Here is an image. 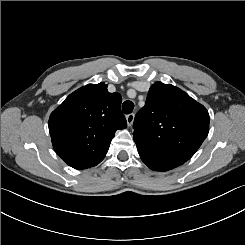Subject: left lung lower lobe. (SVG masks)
I'll return each mask as SVG.
<instances>
[{
	"instance_id": "obj_1",
	"label": "left lung lower lobe",
	"mask_w": 245,
	"mask_h": 245,
	"mask_svg": "<svg viewBox=\"0 0 245 245\" xmlns=\"http://www.w3.org/2000/svg\"><path fill=\"white\" fill-rule=\"evenodd\" d=\"M142 161L152 170L168 171L174 169L186 161L176 155L164 151H148L137 149Z\"/></svg>"
}]
</instances>
